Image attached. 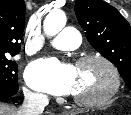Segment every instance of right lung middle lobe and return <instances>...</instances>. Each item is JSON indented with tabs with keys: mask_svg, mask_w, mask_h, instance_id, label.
<instances>
[{
	"mask_svg": "<svg viewBox=\"0 0 131 115\" xmlns=\"http://www.w3.org/2000/svg\"><path fill=\"white\" fill-rule=\"evenodd\" d=\"M18 52L0 53V94L14 93L18 90L17 64L9 60L7 55Z\"/></svg>",
	"mask_w": 131,
	"mask_h": 115,
	"instance_id": "right-lung-middle-lobe-1",
	"label": "right lung middle lobe"
}]
</instances>
